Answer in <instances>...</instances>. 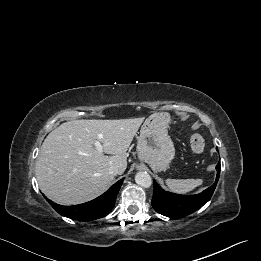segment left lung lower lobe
Listing matches in <instances>:
<instances>
[{"instance_id":"0a47b994","label":"left lung lower lobe","mask_w":261,"mask_h":261,"mask_svg":"<svg viewBox=\"0 0 261 261\" xmlns=\"http://www.w3.org/2000/svg\"><path fill=\"white\" fill-rule=\"evenodd\" d=\"M216 169L217 176L214 184L197 195H179L165 192L154 181V193L151 202L153 208L158 213L171 218H181L197 211L212 197L220 176V162Z\"/></svg>"}]
</instances>
